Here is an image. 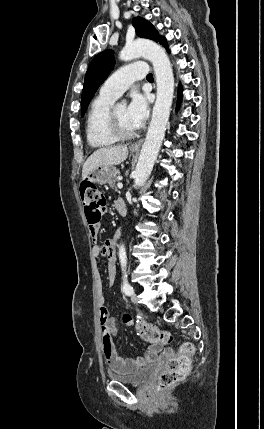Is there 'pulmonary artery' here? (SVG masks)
Returning a JSON list of instances; mask_svg holds the SVG:
<instances>
[{"instance_id": "1", "label": "pulmonary artery", "mask_w": 264, "mask_h": 429, "mask_svg": "<svg viewBox=\"0 0 264 429\" xmlns=\"http://www.w3.org/2000/svg\"><path fill=\"white\" fill-rule=\"evenodd\" d=\"M148 72L144 62L126 65L114 72L101 86L100 93L107 96L119 97L136 80L143 79Z\"/></svg>"}]
</instances>
